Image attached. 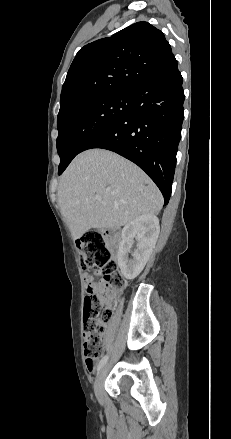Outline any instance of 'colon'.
Masks as SVG:
<instances>
[{
  "instance_id": "5ec220e1",
  "label": "colon",
  "mask_w": 231,
  "mask_h": 439,
  "mask_svg": "<svg viewBox=\"0 0 231 439\" xmlns=\"http://www.w3.org/2000/svg\"><path fill=\"white\" fill-rule=\"evenodd\" d=\"M81 266L98 274V290L87 292L84 300V353L86 364L92 371L102 352L105 323L109 310L103 308L102 295L121 290L125 281L119 274L117 264L103 236L96 232L84 235L78 241Z\"/></svg>"
}]
</instances>
